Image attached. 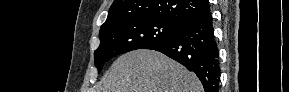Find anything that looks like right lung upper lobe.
<instances>
[{
  "label": "right lung upper lobe",
  "mask_w": 289,
  "mask_h": 92,
  "mask_svg": "<svg viewBox=\"0 0 289 92\" xmlns=\"http://www.w3.org/2000/svg\"><path fill=\"white\" fill-rule=\"evenodd\" d=\"M208 10V0H114L101 28L119 21L144 17L183 23Z\"/></svg>",
  "instance_id": "obj_1"
}]
</instances>
